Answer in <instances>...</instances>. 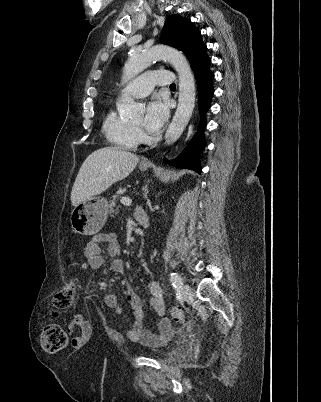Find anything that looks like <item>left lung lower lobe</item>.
Wrapping results in <instances>:
<instances>
[{
    "mask_svg": "<svg viewBox=\"0 0 321 402\" xmlns=\"http://www.w3.org/2000/svg\"><path fill=\"white\" fill-rule=\"evenodd\" d=\"M189 60L197 81L199 109L203 118L196 136L190 141L181 155L171 164L176 167L191 169L201 173L199 156L205 147L203 129L206 125V121L204 114L210 107V99L214 93L212 86L214 74L210 70L211 59L207 55V47L204 43L194 50Z\"/></svg>",
    "mask_w": 321,
    "mask_h": 402,
    "instance_id": "1",
    "label": "left lung lower lobe"
}]
</instances>
